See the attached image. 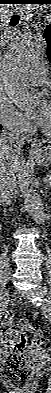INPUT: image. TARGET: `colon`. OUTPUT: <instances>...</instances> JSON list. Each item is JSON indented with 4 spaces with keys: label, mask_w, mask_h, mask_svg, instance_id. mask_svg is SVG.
Masks as SVG:
<instances>
[{
    "label": "colon",
    "mask_w": 51,
    "mask_h": 393,
    "mask_svg": "<svg viewBox=\"0 0 51 393\" xmlns=\"http://www.w3.org/2000/svg\"><path fill=\"white\" fill-rule=\"evenodd\" d=\"M32 328L25 322L13 323L1 332L2 374L4 379L16 390L23 391L33 377V365L29 361L25 344ZM34 344H44V336L34 332Z\"/></svg>",
    "instance_id": "1"
}]
</instances>
